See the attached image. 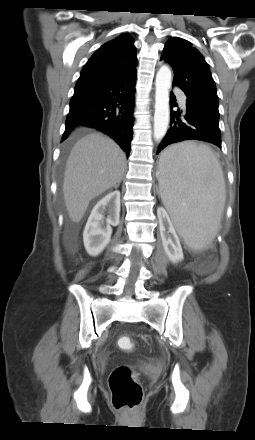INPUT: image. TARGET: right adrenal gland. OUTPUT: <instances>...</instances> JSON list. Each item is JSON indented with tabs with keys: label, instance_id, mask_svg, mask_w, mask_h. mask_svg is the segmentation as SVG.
Segmentation results:
<instances>
[{
	"label": "right adrenal gland",
	"instance_id": "right-adrenal-gland-1",
	"mask_svg": "<svg viewBox=\"0 0 255 440\" xmlns=\"http://www.w3.org/2000/svg\"><path fill=\"white\" fill-rule=\"evenodd\" d=\"M120 183L121 182H119L117 185H115L114 188L117 189L120 186Z\"/></svg>",
	"mask_w": 255,
	"mask_h": 440
}]
</instances>
